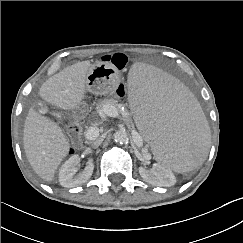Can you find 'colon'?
<instances>
[{"label":"colon","mask_w":243,"mask_h":243,"mask_svg":"<svg viewBox=\"0 0 243 243\" xmlns=\"http://www.w3.org/2000/svg\"><path fill=\"white\" fill-rule=\"evenodd\" d=\"M102 61L105 63H110L111 65H113L117 70H122L127 62H128V58L125 54L123 53H114L112 55H106L102 58ZM116 93L118 95H123L124 94V85L123 84H119L116 88ZM49 117L50 118H57L58 117V110L57 109H50L49 110Z\"/></svg>","instance_id":"colon-1"}]
</instances>
